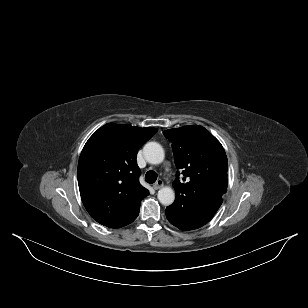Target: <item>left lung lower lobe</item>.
I'll list each match as a JSON object with an SVG mask.
<instances>
[{
    "label": "left lung lower lobe",
    "mask_w": 308,
    "mask_h": 308,
    "mask_svg": "<svg viewBox=\"0 0 308 308\" xmlns=\"http://www.w3.org/2000/svg\"><path fill=\"white\" fill-rule=\"evenodd\" d=\"M221 204L222 199H219L207 205L185 212H178L173 210L171 207H167L166 217L172 225L180 230H194L209 222Z\"/></svg>",
    "instance_id": "1"
}]
</instances>
